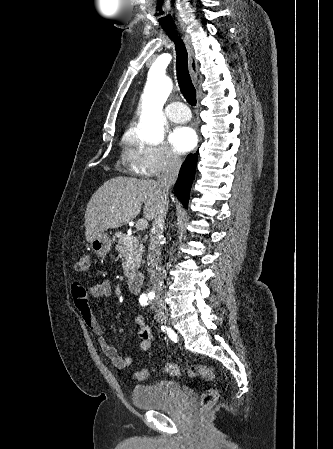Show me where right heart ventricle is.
I'll return each mask as SVG.
<instances>
[{"mask_svg": "<svg viewBox=\"0 0 333 449\" xmlns=\"http://www.w3.org/2000/svg\"><path fill=\"white\" fill-rule=\"evenodd\" d=\"M123 142H124L125 145L129 144L130 143V138L129 137H125Z\"/></svg>", "mask_w": 333, "mask_h": 449, "instance_id": "right-heart-ventricle-1", "label": "right heart ventricle"}]
</instances>
